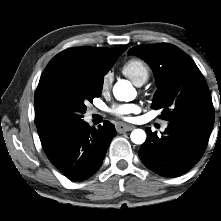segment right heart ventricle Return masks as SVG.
I'll return each mask as SVG.
<instances>
[{
  "mask_svg": "<svg viewBox=\"0 0 221 221\" xmlns=\"http://www.w3.org/2000/svg\"><path fill=\"white\" fill-rule=\"evenodd\" d=\"M122 72L136 85L143 84L150 76V67L140 59H130L122 67Z\"/></svg>",
  "mask_w": 221,
  "mask_h": 221,
  "instance_id": "1",
  "label": "right heart ventricle"
}]
</instances>
